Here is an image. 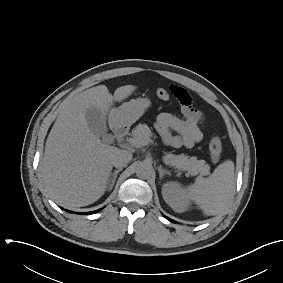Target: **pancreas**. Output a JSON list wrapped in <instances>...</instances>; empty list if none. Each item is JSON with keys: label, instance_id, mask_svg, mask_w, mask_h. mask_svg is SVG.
Here are the masks:
<instances>
[{"label": "pancreas", "instance_id": "pancreas-1", "mask_svg": "<svg viewBox=\"0 0 283 283\" xmlns=\"http://www.w3.org/2000/svg\"><path fill=\"white\" fill-rule=\"evenodd\" d=\"M131 135L132 138L130 139L139 140L150 138L152 136V132L146 124H139L135 129L132 130ZM163 159L167 165L182 171H187L191 176L199 175L198 178H202L210 173V166L206 163V161L198 160L194 156L188 157L185 154L174 155L169 153L166 154Z\"/></svg>", "mask_w": 283, "mask_h": 283}]
</instances>
